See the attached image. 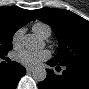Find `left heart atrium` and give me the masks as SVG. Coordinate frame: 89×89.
I'll return each instance as SVG.
<instances>
[{"instance_id":"left-heart-atrium-1","label":"left heart atrium","mask_w":89,"mask_h":89,"mask_svg":"<svg viewBox=\"0 0 89 89\" xmlns=\"http://www.w3.org/2000/svg\"><path fill=\"white\" fill-rule=\"evenodd\" d=\"M50 53L48 51L32 52L22 50L16 54V60L27 67H37L41 62L48 59Z\"/></svg>"}]
</instances>
